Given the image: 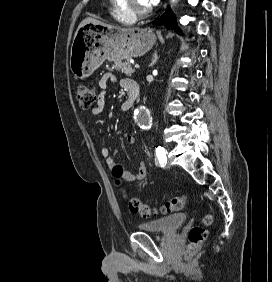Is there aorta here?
<instances>
[{"label":"aorta","instance_id":"obj_1","mask_svg":"<svg viewBox=\"0 0 272 282\" xmlns=\"http://www.w3.org/2000/svg\"><path fill=\"white\" fill-rule=\"evenodd\" d=\"M172 2H176L177 0H171ZM150 119V112L147 107L139 106L134 111V120L137 125L141 128H145L148 125V121Z\"/></svg>","mask_w":272,"mask_h":282}]
</instances>
